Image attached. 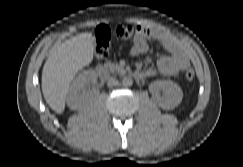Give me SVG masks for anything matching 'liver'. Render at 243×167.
Masks as SVG:
<instances>
[{"mask_svg":"<svg viewBox=\"0 0 243 167\" xmlns=\"http://www.w3.org/2000/svg\"><path fill=\"white\" fill-rule=\"evenodd\" d=\"M94 47L95 38L85 32L65 41L48 56L42 71V92L56 113H63L69 85L76 73L92 62Z\"/></svg>","mask_w":243,"mask_h":167,"instance_id":"1","label":"liver"}]
</instances>
